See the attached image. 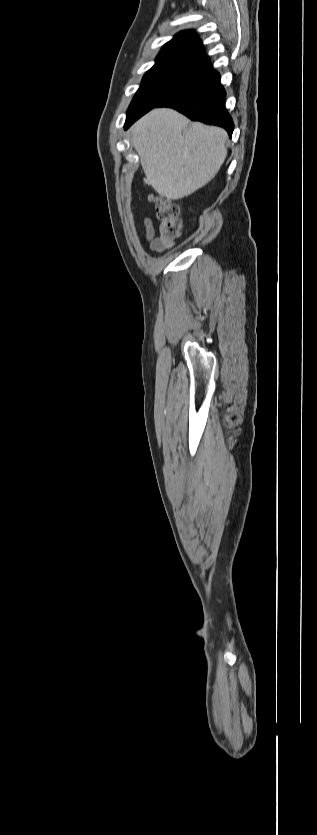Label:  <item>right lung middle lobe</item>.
Returning a JSON list of instances; mask_svg holds the SVG:
<instances>
[{"instance_id":"1","label":"right lung middle lobe","mask_w":317,"mask_h":835,"mask_svg":"<svg viewBox=\"0 0 317 835\" xmlns=\"http://www.w3.org/2000/svg\"><path fill=\"white\" fill-rule=\"evenodd\" d=\"M206 78L197 71L191 60H182L151 68L127 112L125 128L143 114L168 99L204 83Z\"/></svg>"}]
</instances>
